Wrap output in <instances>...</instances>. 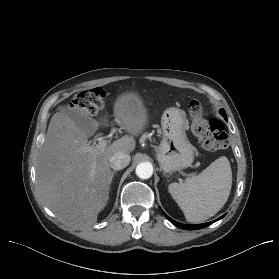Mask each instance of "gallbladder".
Returning <instances> with one entry per match:
<instances>
[{
  "mask_svg": "<svg viewBox=\"0 0 279 279\" xmlns=\"http://www.w3.org/2000/svg\"><path fill=\"white\" fill-rule=\"evenodd\" d=\"M60 110L87 135L91 136L95 133L97 129L96 123L85 112L70 108L68 106H62L60 107Z\"/></svg>",
  "mask_w": 279,
  "mask_h": 279,
  "instance_id": "obj_1",
  "label": "gallbladder"
}]
</instances>
